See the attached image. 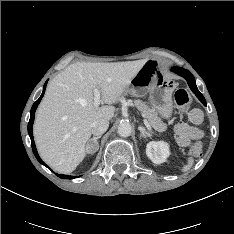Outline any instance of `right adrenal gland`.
<instances>
[{
	"label": "right adrenal gland",
	"instance_id": "2a0ac1e0",
	"mask_svg": "<svg viewBox=\"0 0 234 234\" xmlns=\"http://www.w3.org/2000/svg\"><path fill=\"white\" fill-rule=\"evenodd\" d=\"M99 138H101V135H99V136H96V137H93L92 139H90L89 140V142L87 143V146H89V143L90 142H94L95 143V145H96V149H95V151H97L98 150V148H99V143H98V139ZM95 151H90V153H93V152H95Z\"/></svg>",
	"mask_w": 234,
	"mask_h": 234
}]
</instances>
